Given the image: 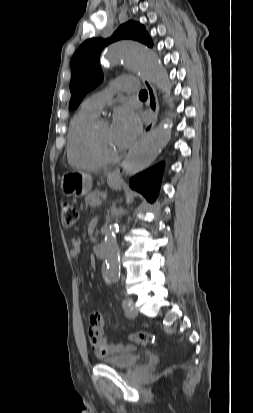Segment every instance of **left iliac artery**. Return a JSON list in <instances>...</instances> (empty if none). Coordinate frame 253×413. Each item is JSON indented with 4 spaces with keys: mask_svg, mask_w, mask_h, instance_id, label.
<instances>
[{
    "mask_svg": "<svg viewBox=\"0 0 253 413\" xmlns=\"http://www.w3.org/2000/svg\"><path fill=\"white\" fill-rule=\"evenodd\" d=\"M130 303H131V300H130L129 298H126V299L123 301V306H124V307H129V306H130Z\"/></svg>",
    "mask_w": 253,
    "mask_h": 413,
    "instance_id": "obj_1",
    "label": "left iliac artery"
}]
</instances>
